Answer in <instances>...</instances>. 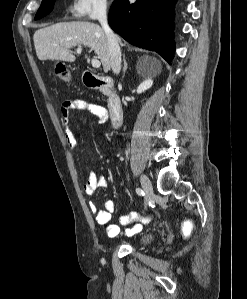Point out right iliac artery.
Here are the masks:
<instances>
[{
	"instance_id": "obj_1",
	"label": "right iliac artery",
	"mask_w": 247,
	"mask_h": 299,
	"mask_svg": "<svg viewBox=\"0 0 247 299\" xmlns=\"http://www.w3.org/2000/svg\"><path fill=\"white\" fill-rule=\"evenodd\" d=\"M136 192H137V194L140 195V196H144V195H145L144 191H143L142 189H140V188H137V189H136Z\"/></svg>"
}]
</instances>
